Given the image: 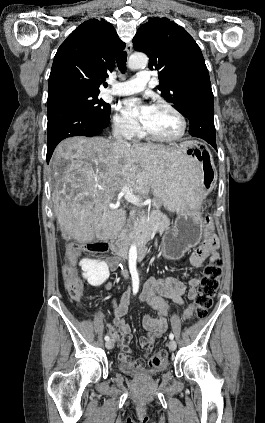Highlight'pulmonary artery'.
<instances>
[{
  "label": "pulmonary artery",
  "mask_w": 265,
  "mask_h": 423,
  "mask_svg": "<svg viewBox=\"0 0 265 423\" xmlns=\"http://www.w3.org/2000/svg\"><path fill=\"white\" fill-rule=\"evenodd\" d=\"M151 75L148 70H140L136 77L114 83L106 90L107 93L114 95H129L142 91L150 82Z\"/></svg>",
  "instance_id": "e3ab8cb5"
}]
</instances>
